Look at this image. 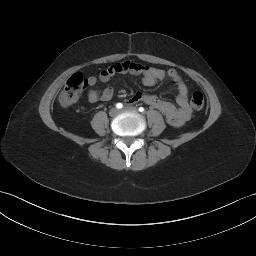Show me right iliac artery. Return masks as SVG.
Segmentation results:
<instances>
[{
    "mask_svg": "<svg viewBox=\"0 0 256 256\" xmlns=\"http://www.w3.org/2000/svg\"><path fill=\"white\" fill-rule=\"evenodd\" d=\"M116 107H117L118 109H121V108L123 107V104H122V103H117V104H116Z\"/></svg>",
    "mask_w": 256,
    "mask_h": 256,
    "instance_id": "right-iliac-artery-1",
    "label": "right iliac artery"
}]
</instances>
